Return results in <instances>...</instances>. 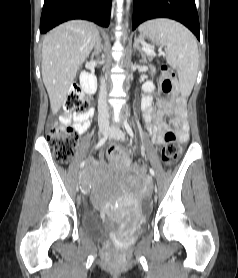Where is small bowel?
<instances>
[{"label": "small bowel", "mask_w": 238, "mask_h": 278, "mask_svg": "<svg viewBox=\"0 0 238 278\" xmlns=\"http://www.w3.org/2000/svg\"><path fill=\"white\" fill-rule=\"evenodd\" d=\"M160 89L158 90V92ZM141 110L151 140L156 145H161L164 142L165 135L170 131L169 126L165 123L164 118L171 115V124L176 128L179 139L185 143L188 140V125L185 114V95H170L161 98L157 101L156 108L152 106V96L147 95L141 101ZM93 111L89 110L83 114L71 115L68 113L60 115L57 124L61 127L70 125L74 122L76 130L83 134L91 125V117ZM121 167L129 166L128 157L124 162L119 164Z\"/></svg>", "instance_id": "c3829d8e"}]
</instances>
